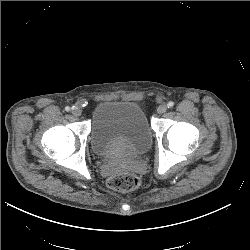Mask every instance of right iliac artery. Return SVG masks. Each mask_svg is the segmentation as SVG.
<instances>
[{
	"mask_svg": "<svg viewBox=\"0 0 250 250\" xmlns=\"http://www.w3.org/2000/svg\"><path fill=\"white\" fill-rule=\"evenodd\" d=\"M65 110L68 112L71 110V108L67 106V107H65Z\"/></svg>",
	"mask_w": 250,
	"mask_h": 250,
	"instance_id": "1",
	"label": "right iliac artery"
}]
</instances>
